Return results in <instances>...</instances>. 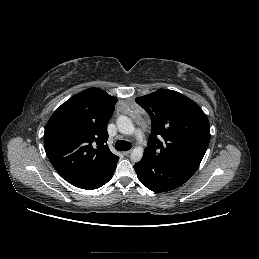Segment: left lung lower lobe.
I'll list each match as a JSON object with an SVG mask.
<instances>
[{"label": "left lung lower lobe", "mask_w": 259, "mask_h": 259, "mask_svg": "<svg viewBox=\"0 0 259 259\" xmlns=\"http://www.w3.org/2000/svg\"><path fill=\"white\" fill-rule=\"evenodd\" d=\"M138 179L154 192H166L184 184L195 171L144 155L134 166Z\"/></svg>", "instance_id": "left-lung-lower-lobe-1"}]
</instances>
